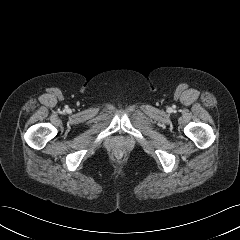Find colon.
<instances>
[{"mask_svg": "<svg viewBox=\"0 0 240 240\" xmlns=\"http://www.w3.org/2000/svg\"><path fill=\"white\" fill-rule=\"evenodd\" d=\"M113 156L116 158V159H121L123 157V151L121 149H114L113 150Z\"/></svg>", "mask_w": 240, "mask_h": 240, "instance_id": "obj_1", "label": "colon"}]
</instances>
